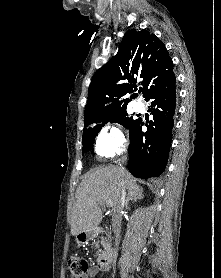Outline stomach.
Segmentation results:
<instances>
[{
    "label": "stomach",
    "mask_w": 221,
    "mask_h": 278,
    "mask_svg": "<svg viewBox=\"0 0 221 278\" xmlns=\"http://www.w3.org/2000/svg\"><path fill=\"white\" fill-rule=\"evenodd\" d=\"M76 241H77V244L78 245H81V244H84L85 243V239H82L81 235L79 234L77 237H76Z\"/></svg>",
    "instance_id": "0dacf381"
}]
</instances>
